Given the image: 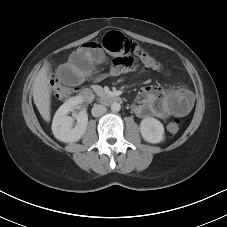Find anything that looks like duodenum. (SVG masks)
Listing matches in <instances>:
<instances>
[{
  "label": "duodenum",
  "instance_id": "1",
  "mask_svg": "<svg viewBox=\"0 0 227 227\" xmlns=\"http://www.w3.org/2000/svg\"><path fill=\"white\" fill-rule=\"evenodd\" d=\"M79 95L86 103H91L96 99L95 93L88 88L83 89ZM99 100L104 103H118L122 101V98L117 94H102L99 96Z\"/></svg>",
  "mask_w": 227,
  "mask_h": 227
}]
</instances>
